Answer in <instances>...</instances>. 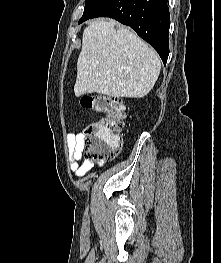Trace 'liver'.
Here are the masks:
<instances>
[{"label":"liver","instance_id":"1","mask_svg":"<svg viewBox=\"0 0 221 263\" xmlns=\"http://www.w3.org/2000/svg\"><path fill=\"white\" fill-rule=\"evenodd\" d=\"M160 70L157 53L134 32L113 20H95L83 32L74 93L141 98Z\"/></svg>","mask_w":221,"mask_h":263}]
</instances>
